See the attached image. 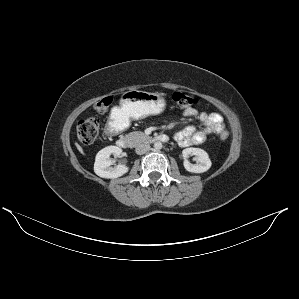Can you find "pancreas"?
Returning <instances> with one entry per match:
<instances>
[{"instance_id":"cf45deb5","label":"pancreas","mask_w":299,"mask_h":299,"mask_svg":"<svg viewBox=\"0 0 299 299\" xmlns=\"http://www.w3.org/2000/svg\"><path fill=\"white\" fill-rule=\"evenodd\" d=\"M127 137L130 138L134 144L150 139V137L143 132H131Z\"/></svg>"}]
</instances>
